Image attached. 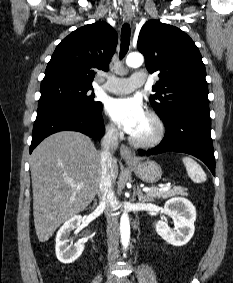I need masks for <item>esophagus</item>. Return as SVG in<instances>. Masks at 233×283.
<instances>
[{
  "label": "esophagus",
  "mask_w": 233,
  "mask_h": 283,
  "mask_svg": "<svg viewBox=\"0 0 233 283\" xmlns=\"http://www.w3.org/2000/svg\"><path fill=\"white\" fill-rule=\"evenodd\" d=\"M133 17V10L130 7L124 8V18L126 21H130ZM120 155L127 163H134L137 161L136 157L132 153L131 149L126 145L120 146Z\"/></svg>",
  "instance_id": "34e87169"
}]
</instances>
